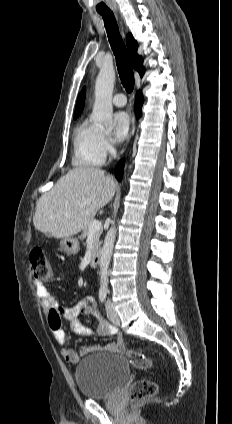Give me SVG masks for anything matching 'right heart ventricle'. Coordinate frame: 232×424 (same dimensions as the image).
Returning <instances> with one entry per match:
<instances>
[{"label":"right heart ventricle","mask_w":232,"mask_h":424,"mask_svg":"<svg viewBox=\"0 0 232 424\" xmlns=\"http://www.w3.org/2000/svg\"><path fill=\"white\" fill-rule=\"evenodd\" d=\"M102 131L88 119L74 131L72 164L77 168L101 166L106 153L102 146Z\"/></svg>","instance_id":"e07e8e85"}]
</instances>
